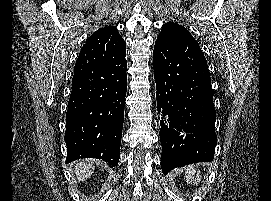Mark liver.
Returning <instances> with one entry per match:
<instances>
[{"label":"liver","mask_w":271,"mask_h":201,"mask_svg":"<svg viewBox=\"0 0 271 201\" xmlns=\"http://www.w3.org/2000/svg\"><path fill=\"white\" fill-rule=\"evenodd\" d=\"M94 164L95 160L92 159L77 162L75 165L77 180L85 181L87 178H90L91 171L94 170Z\"/></svg>","instance_id":"6515ba94"}]
</instances>
